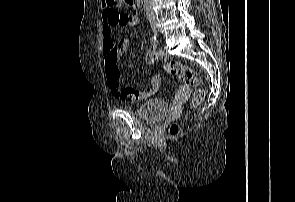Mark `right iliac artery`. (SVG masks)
<instances>
[{"mask_svg":"<svg viewBox=\"0 0 295 202\" xmlns=\"http://www.w3.org/2000/svg\"><path fill=\"white\" fill-rule=\"evenodd\" d=\"M150 42H151V44H152L154 47H156V46H157V43H158L156 36H152V37L150 38Z\"/></svg>","mask_w":295,"mask_h":202,"instance_id":"82829eb1","label":"right iliac artery"}]
</instances>
